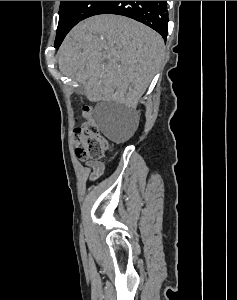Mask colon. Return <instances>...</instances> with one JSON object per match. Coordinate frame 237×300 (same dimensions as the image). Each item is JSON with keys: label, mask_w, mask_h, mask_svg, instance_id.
Returning a JSON list of instances; mask_svg holds the SVG:
<instances>
[{"label": "colon", "mask_w": 237, "mask_h": 300, "mask_svg": "<svg viewBox=\"0 0 237 300\" xmlns=\"http://www.w3.org/2000/svg\"><path fill=\"white\" fill-rule=\"evenodd\" d=\"M85 122L75 129V154L81 160H98L102 158L110 148V143L104 137L99 126L92 117V108H83Z\"/></svg>", "instance_id": "1"}]
</instances>
